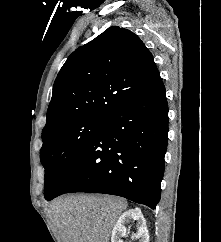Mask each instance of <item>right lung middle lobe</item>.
I'll list each match as a JSON object with an SVG mask.
<instances>
[{
  "mask_svg": "<svg viewBox=\"0 0 221 242\" xmlns=\"http://www.w3.org/2000/svg\"><path fill=\"white\" fill-rule=\"evenodd\" d=\"M103 117H87L64 123L42 134L40 160L45 168V199L65 168L96 133Z\"/></svg>",
  "mask_w": 221,
  "mask_h": 242,
  "instance_id": "obj_1",
  "label": "right lung middle lobe"
}]
</instances>
